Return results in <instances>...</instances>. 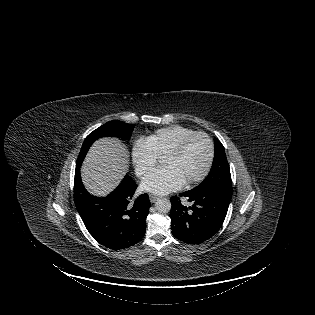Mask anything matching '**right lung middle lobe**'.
<instances>
[{"label": "right lung middle lobe", "instance_id": "obj_1", "mask_svg": "<svg viewBox=\"0 0 315 315\" xmlns=\"http://www.w3.org/2000/svg\"><path fill=\"white\" fill-rule=\"evenodd\" d=\"M133 126L122 121H110L90 133L83 142L78 155L76 167H81L87 151L93 142L101 137H122L130 139Z\"/></svg>", "mask_w": 315, "mask_h": 315}]
</instances>
